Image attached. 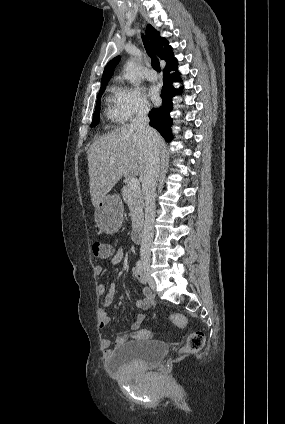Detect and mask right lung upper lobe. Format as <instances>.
<instances>
[{
  "instance_id": "obj_1",
  "label": "right lung upper lobe",
  "mask_w": 285,
  "mask_h": 424,
  "mask_svg": "<svg viewBox=\"0 0 285 424\" xmlns=\"http://www.w3.org/2000/svg\"><path fill=\"white\" fill-rule=\"evenodd\" d=\"M146 34L152 43L154 51L159 58L166 61V65L176 61L173 56L172 48L168 46V41L165 38L160 37L157 30L150 24L147 25ZM163 46H166V48H163ZM119 60L120 56H117L106 65L101 80V87H105L107 85L113 74L114 67L119 62Z\"/></svg>"
}]
</instances>
